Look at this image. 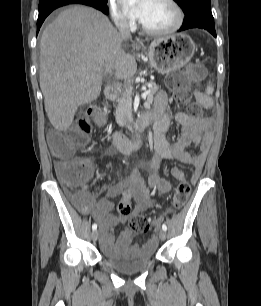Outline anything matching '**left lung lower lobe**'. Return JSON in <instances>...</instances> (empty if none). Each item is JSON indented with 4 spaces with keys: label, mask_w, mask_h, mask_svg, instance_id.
Wrapping results in <instances>:
<instances>
[{
    "label": "left lung lower lobe",
    "mask_w": 261,
    "mask_h": 306,
    "mask_svg": "<svg viewBox=\"0 0 261 306\" xmlns=\"http://www.w3.org/2000/svg\"><path fill=\"white\" fill-rule=\"evenodd\" d=\"M190 28H202L209 31L214 37H216L214 18L212 15L204 12H195L185 15L183 25L178 30L183 31Z\"/></svg>",
    "instance_id": "1"
}]
</instances>
